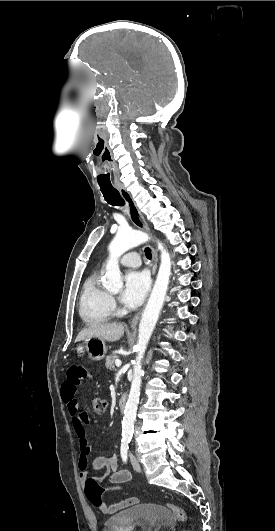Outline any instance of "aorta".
<instances>
[{
	"label": "aorta",
	"mask_w": 275,
	"mask_h": 531,
	"mask_svg": "<svg viewBox=\"0 0 275 531\" xmlns=\"http://www.w3.org/2000/svg\"><path fill=\"white\" fill-rule=\"evenodd\" d=\"M145 239L146 235L144 233H141V231H132V229H128V231L126 229H120L116 233L108 247L109 257L106 265V273L102 281V285L107 291H120L122 289L123 281L118 261L121 255H124L129 249H133V247H138V245L144 243ZM158 249L161 251V263L158 275L139 323L138 341L135 347L137 357L133 363V379L122 421V435L124 437H132L134 433V421L136 419L143 377L142 359H144L147 345L159 319L171 275L172 263L170 255L164 249L162 243H158Z\"/></svg>",
	"instance_id": "aorta-1"
}]
</instances>
